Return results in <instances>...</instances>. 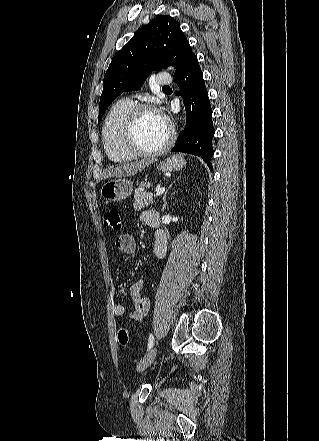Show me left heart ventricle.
<instances>
[{"instance_id":"b2bd125f","label":"left heart ventricle","mask_w":319,"mask_h":441,"mask_svg":"<svg viewBox=\"0 0 319 441\" xmlns=\"http://www.w3.org/2000/svg\"><path fill=\"white\" fill-rule=\"evenodd\" d=\"M168 128L158 113L145 112L138 119L135 141L144 150H154L166 140Z\"/></svg>"}]
</instances>
